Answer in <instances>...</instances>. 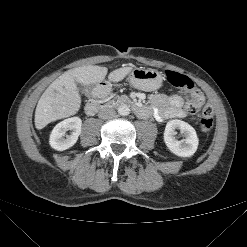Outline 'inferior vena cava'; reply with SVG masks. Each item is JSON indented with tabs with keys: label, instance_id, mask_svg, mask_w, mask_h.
Returning a JSON list of instances; mask_svg holds the SVG:
<instances>
[{
	"label": "inferior vena cava",
	"instance_id": "1",
	"mask_svg": "<svg viewBox=\"0 0 247 247\" xmlns=\"http://www.w3.org/2000/svg\"><path fill=\"white\" fill-rule=\"evenodd\" d=\"M115 115H116V111L113 108H109V107L102 108L98 113V116L101 119H111Z\"/></svg>",
	"mask_w": 247,
	"mask_h": 247
}]
</instances>
